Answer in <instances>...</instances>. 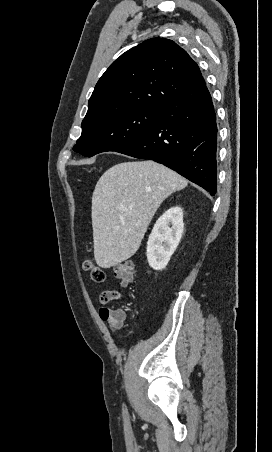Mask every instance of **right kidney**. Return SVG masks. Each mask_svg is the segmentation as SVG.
Here are the masks:
<instances>
[{
    "mask_svg": "<svg viewBox=\"0 0 272 452\" xmlns=\"http://www.w3.org/2000/svg\"><path fill=\"white\" fill-rule=\"evenodd\" d=\"M183 228L181 207H171L159 217L147 242V259L150 267L157 271L166 267L180 242Z\"/></svg>",
    "mask_w": 272,
    "mask_h": 452,
    "instance_id": "obj_1",
    "label": "right kidney"
}]
</instances>
